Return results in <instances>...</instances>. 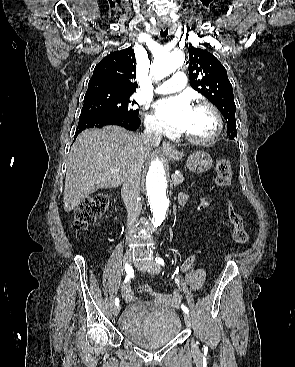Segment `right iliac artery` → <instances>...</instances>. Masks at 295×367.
Returning a JSON list of instances; mask_svg holds the SVG:
<instances>
[{"label":"right iliac artery","mask_w":295,"mask_h":367,"mask_svg":"<svg viewBox=\"0 0 295 367\" xmlns=\"http://www.w3.org/2000/svg\"><path fill=\"white\" fill-rule=\"evenodd\" d=\"M125 271L127 273L124 283H127L133 276H134V271L132 266H130L129 264H125ZM115 305H119V299L115 298Z\"/></svg>","instance_id":"obj_1"}]
</instances>
